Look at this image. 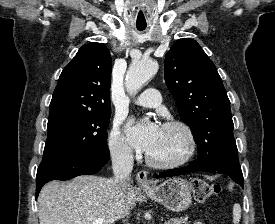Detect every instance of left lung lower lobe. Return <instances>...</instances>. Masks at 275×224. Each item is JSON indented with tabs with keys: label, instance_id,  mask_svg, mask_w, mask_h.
<instances>
[{
	"label": "left lung lower lobe",
	"instance_id": "0a47b994",
	"mask_svg": "<svg viewBox=\"0 0 275 224\" xmlns=\"http://www.w3.org/2000/svg\"><path fill=\"white\" fill-rule=\"evenodd\" d=\"M196 171H215L220 174H226L243 188L244 179H243L241 167H220L218 169H213L212 167H207L205 163L199 162V161H195L192 164L183 168L167 170L159 174L158 178L178 176L181 174L196 172Z\"/></svg>",
	"mask_w": 275,
	"mask_h": 224
}]
</instances>
